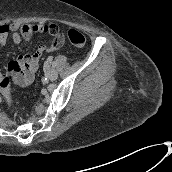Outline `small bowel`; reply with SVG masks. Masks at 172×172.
Wrapping results in <instances>:
<instances>
[{
  "instance_id": "1",
  "label": "small bowel",
  "mask_w": 172,
  "mask_h": 172,
  "mask_svg": "<svg viewBox=\"0 0 172 172\" xmlns=\"http://www.w3.org/2000/svg\"><path fill=\"white\" fill-rule=\"evenodd\" d=\"M55 26L54 24H50ZM24 26L29 25H20V24H11V25H0V45L4 46L7 44L9 38L15 44H20L23 41H29L30 37L25 39L22 35V29ZM49 26V25H40L39 27ZM34 32L48 33L42 29H38ZM33 32H31L32 35ZM63 45L61 38L54 39L49 45H41L38 50L32 55H26L19 57L16 61H12L9 64V69L11 71H17L18 73V83L21 86L28 84L33 79V74L36 71L40 58L43 54L50 53L56 50H59ZM1 78V74H0Z\"/></svg>"
}]
</instances>
